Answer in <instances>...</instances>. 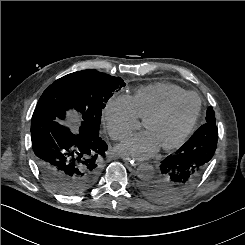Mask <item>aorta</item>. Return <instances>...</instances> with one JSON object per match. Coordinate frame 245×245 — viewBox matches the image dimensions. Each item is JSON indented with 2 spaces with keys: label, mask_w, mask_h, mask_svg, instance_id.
<instances>
[{
  "label": "aorta",
  "mask_w": 245,
  "mask_h": 245,
  "mask_svg": "<svg viewBox=\"0 0 245 245\" xmlns=\"http://www.w3.org/2000/svg\"><path fill=\"white\" fill-rule=\"evenodd\" d=\"M137 171L138 177L143 180H149L154 176V168L150 164H141Z\"/></svg>",
  "instance_id": "aorta-1"
}]
</instances>
